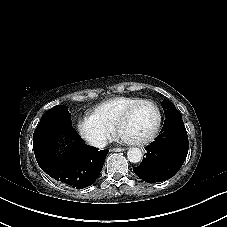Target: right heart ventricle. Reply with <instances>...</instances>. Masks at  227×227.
Returning <instances> with one entry per match:
<instances>
[{
  "instance_id": "e07e8e85",
  "label": "right heart ventricle",
  "mask_w": 227,
  "mask_h": 227,
  "mask_svg": "<svg viewBox=\"0 0 227 227\" xmlns=\"http://www.w3.org/2000/svg\"><path fill=\"white\" fill-rule=\"evenodd\" d=\"M140 102L139 98L117 97L99 105L93 112L92 122L110 128L115 126L124 114Z\"/></svg>"
}]
</instances>
